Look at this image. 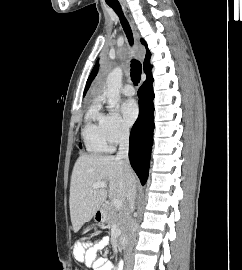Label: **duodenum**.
<instances>
[{"instance_id": "410a0bca", "label": "duodenum", "mask_w": 242, "mask_h": 270, "mask_svg": "<svg viewBox=\"0 0 242 270\" xmlns=\"http://www.w3.org/2000/svg\"><path fill=\"white\" fill-rule=\"evenodd\" d=\"M98 221H100V219H98ZM126 243H127L126 236L121 235L120 238H119V245H120V247L121 248H124L126 246Z\"/></svg>"}]
</instances>
